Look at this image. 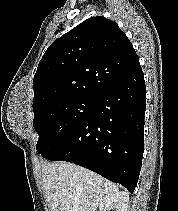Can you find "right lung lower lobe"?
<instances>
[{
    "mask_svg": "<svg viewBox=\"0 0 178 211\" xmlns=\"http://www.w3.org/2000/svg\"><path fill=\"white\" fill-rule=\"evenodd\" d=\"M142 69L96 99L86 120L44 158L90 169L133 193L144 149Z\"/></svg>",
    "mask_w": 178,
    "mask_h": 211,
    "instance_id": "right-lung-lower-lobe-1",
    "label": "right lung lower lobe"
}]
</instances>
